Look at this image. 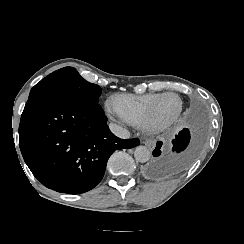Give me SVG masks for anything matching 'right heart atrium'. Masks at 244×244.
Wrapping results in <instances>:
<instances>
[{"mask_svg":"<svg viewBox=\"0 0 244 244\" xmlns=\"http://www.w3.org/2000/svg\"><path fill=\"white\" fill-rule=\"evenodd\" d=\"M106 113H107V116L111 119V120H113L114 119V115L116 114L117 115V113L114 111V109H113V105H112V103L108 106V108L106 109Z\"/></svg>","mask_w":244,"mask_h":244,"instance_id":"d8ad5b80","label":"right heart atrium"}]
</instances>
